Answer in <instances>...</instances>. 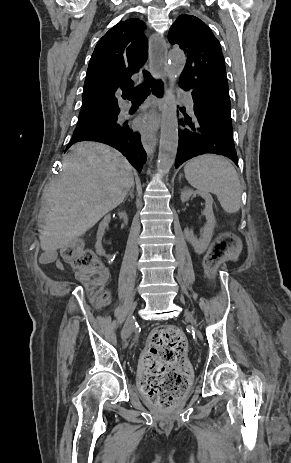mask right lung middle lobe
<instances>
[{"instance_id": "right-lung-middle-lobe-1", "label": "right lung middle lobe", "mask_w": 291, "mask_h": 463, "mask_svg": "<svg viewBox=\"0 0 291 463\" xmlns=\"http://www.w3.org/2000/svg\"><path fill=\"white\" fill-rule=\"evenodd\" d=\"M117 114L118 112H111V113H105L100 116L89 118V119H79L78 125L74 132H80V131L88 130L96 126L116 122Z\"/></svg>"}]
</instances>
